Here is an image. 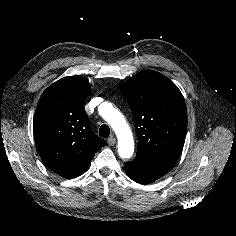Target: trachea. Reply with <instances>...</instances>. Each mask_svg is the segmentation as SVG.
I'll use <instances>...</instances> for the list:
<instances>
[{
  "label": "trachea",
  "instance_id": "obj_1",
  "mask_svg": "<svg viewBox=\"0 0 236 236\" xmlns=\"http://www.w3.org/2000/svg\"><path fill=\"white\" fill-rule=\"evenodd\" d=\"M110 134V128L108 125L103 124L99 129V136L103 138H108Z\"/></svg>",
  "mask_w": 236,
  "mask_h": 236
}]
</instances>
